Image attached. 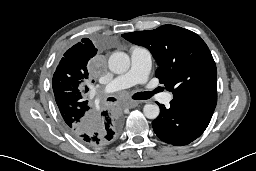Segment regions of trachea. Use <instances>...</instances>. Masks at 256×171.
Wrapping results in <instances>:
<instances>
[{"label":"trachea","mask_w":256,"mask_h":171,"mask_svg":"<svg viewBox=\"0 0 256 171\" xmlns=\"http://www.w3.org/2000/svg\"><path fill=\"white\" fill-rule=\"evenodd\" d=\"M155 92H159V88L155 90ZM154 92H138L132 96L133 99L136 100H146L152 97ZM108 101H115V98H108Z\"/></svg>","instance_id":"3493384b"}]
</instances>
